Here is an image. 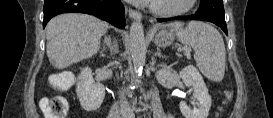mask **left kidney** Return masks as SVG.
<instances>
[{
  "instance_id": "1",
  "label": "left kidney",
  "mask_w": 273,
  "mask_h": 118,
  "mask_svg": "<svg viewBox=\"0 0 273 118\" xmlns=\"http://www.w3.org/2000/svg\"><path fill=\"white\" fill-rule=\"evenodd\" d=\"M180 78L186 86L193 87L194 98L198 108L191 109L186 102H180V111L185 118H207L211 108V96L200 72L192 65L180 71Z\"/></svg>"
}]
</instances>
